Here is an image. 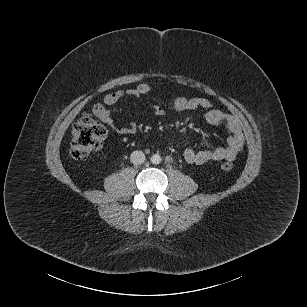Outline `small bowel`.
Listing matches in <instances>:
<instances>
[{
	"label": "small bowel",
	"instance_id": "1",
	"mask_svg": "<svg viewBox=\"0 0 307 307\" xmlns=\"http://www.w3.org/2000/svg\"><path fill=\"white\" fill-rule=\"evenodd\" d=\"M150 92L151 87L145 83L139 84L135 88L110 92L104 96V104L97 103L93 106L92 113L113 131L124 135L134 134L137 131V125L135 123L131 122L124 126H118L114 117L116 114L121 113L122 109L117 106V103L125 99L139 100ZM172 108L176 112L202 109L204 111V118L208 123L216 126H224L230 133L226 145L200 151H195L191 148L185 149L183 156L188 163L201 165L208 161H231L242 151L244 147V135L239 123L228 113L214 109L208 99L202 97H177L173 101ZM152 110L155 115H162V109L160 107L153 106Z\"/></svg>",
	"mask_w": 307,
	"mask_h": 307
}]
</instances>
